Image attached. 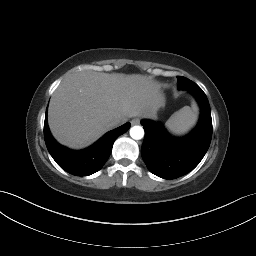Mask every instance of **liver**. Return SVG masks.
I'll use <instances>...</instances> for the list:
<instances>
[{
  "mask_svg": "<svg viewBox=\"0 0 256 256\" xmlns=\"http://www.w3.org/2000/svg\"><path fill=\"white\" fill-rule=\"evenodd\" d=\"M163 104L160 85L147 76L82 71L53 93L48 124L58 142L79 149L112 129L113 120L154 117Z\"/></svg>",
  "mask_w": 256,
  "mask_h": 256,
  "instance_id": "obj_1",
  "label": "liver"
}]
</instances>
